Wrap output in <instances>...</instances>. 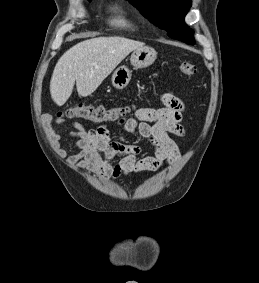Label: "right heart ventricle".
<instances>
[{
    "label": "right heart ventricle",
    "mask_w": 259,
    "mask_h": 283,
    "mask_svg": "<svg viewBox=\"0 0 259 283\" xmlns=\"http://www.w3.org/2000/svg\"><path fill=\"white\" fill-rule=\"evenodd\" d=\"M114 24L121 27H132V23L127 19L122 9H118V15L114 19Z\"/></svg>",
    "instance_id": "right-heart-ventricle-1"
}]
</instances>
